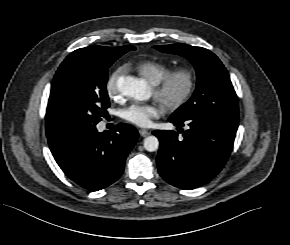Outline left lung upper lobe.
<instances>
[{"label": "left lung upper lobe", "mask_w": 290, "mask_h": 245, "mask_svg": "<svg viewBox=\"0 0 290 245\" xmlns=\"http://www.w3.org/2000/svg\"><path fill=\"white\" fill-rule=\"evenodd\" d=\"M164 52L186 57L197 72V86L190 100L180 106L170 118L183 119L192 113L209 111L232 120H239L238 99L229 74L211 51L182 43L154 46Z\"/></svg>", "instance_id": "left-lung-upper-lobe-1"}]
</instances>
